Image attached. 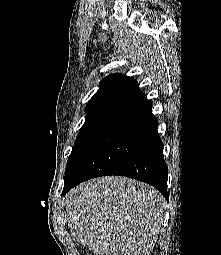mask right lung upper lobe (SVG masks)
I'll return each mask as SVG.
<instances>
[{"label": "right lung upper lobe", "mask_w": 221, "mask_h": 255, "mask_svg": "<svg viewBox=\"0 0 221 255\" xmlns=\"http://www.w3.org/2000/svg\"><path fill=\"white\" fill-rule=\"evenodd\" d=\"M142 92L133 78L121 74H112L101 81L99 90L86 106V112L103 108H119Z\"/></svg>", "instance_id": "obj_1"}]
</instances>
